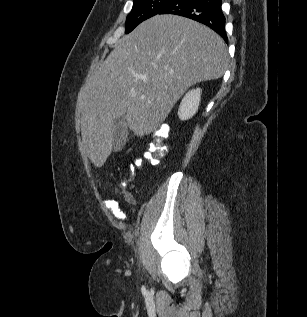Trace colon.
Instances as JSON below:
<instances>
[{
    "label": "colon",
    "mask_w": 307,
    "mask_h": 317,
    "mask_svg": "<svg viewBox=\"0 0 307 317\" xmlns=\"http://www.w3.org/2000/svg\"><path fill=\"white\" fill-rule=\"evenodd\" d=\"M168 137L169 126L167 124H161L151 136V142L144 156V159L147 162L152 164L159 163V160L166 154L168 150ZM135 164L136 167L141 168L143 165V159L138 158ZM105 184H108V182L105 181Z\"/></svg>",
    "instance_id": "colon-1"
}]
</instances>
